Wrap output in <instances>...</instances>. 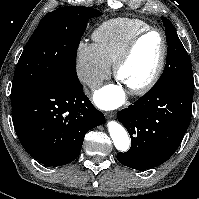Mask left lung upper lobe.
<instances>
[{"mask_svg": "<svg viewBox=\"0 0 199 199\" xmlns=\"http://www.w3.org/2000/svg\"><path fill=\"white\" fill-rule=\"evenodd\" d=\"M167 40V64L158 82L150 91H159L180 83L194 84L192 65L172 23L162 17Z\"/></svg>", "mask_w": 199, "mask_h": 199, "instance_id": "left-lung-upper-lobe-1", "label": "left lung upper lobe"}]
</instances>
